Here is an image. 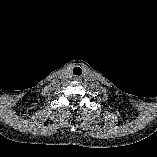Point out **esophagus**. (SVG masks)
<instances>
[{
  "mask_svg": "<svg viewBox=\"0 0 157 157\" xmlns=\"http://www.w3.org/2000/svg\"><path fill=\"white\" fill-rule=\"evenodd\" d=\"M74 80H75V81H81L82 78H81L80 76H75V77H74Z\"/></svg>",
  "mask_w": 157,
  "mask_h": 157,
  "instance_id": "1",
  "label": "esophagus"
}]
</instances>
